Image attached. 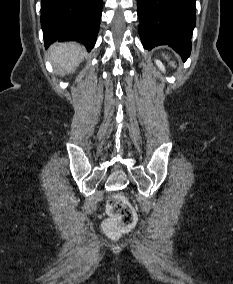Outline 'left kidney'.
Wrapping results in <instances>:
<instances>
[{
	"label": "left kidney",
	"instance_id": "5707ae66",
	"mask_svg": "<svg viewBox=\"0 0 233 284\" xmlns=\"http://www.w3.org/2000/svg\"><path fill=\"white\" fill-rule=\"evenodd\" d=\"M155 63L161 71H165V67H164V65L162 64L161 61L156 60Z\"/></svg>",
	"mask_w": 233,
	"mask_h": 284
}]
</instances>
